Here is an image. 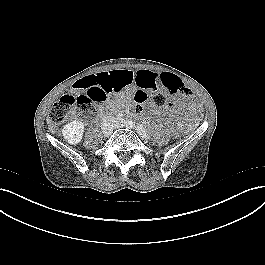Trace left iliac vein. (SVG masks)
I'll return each instance as SVG.
<instances>
[{
  "instance_id": "left-iliac-vein-1",
  "label": "left iliac vein",
  "mask_w": 265,
  "mask_h": 265,
  "mask_svg": "<svg viewBox=\"0 0 265 265\" xmlns=\"http://www.w3.org/2000/svg\"><path fill=\"white\" fill-rule=\"evenodd\" d=\"M123 127H127V128H130V129H134V130H137V125L132 122L131 120H124V121H121V122H117L115 124V128H123ZM145 140H149L150 139V136L147 135L146 137H143Z\"/></svg>"
}]
</instances>
